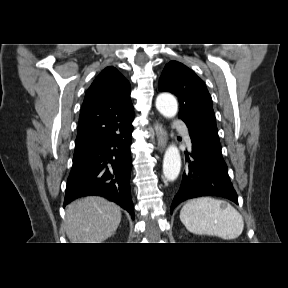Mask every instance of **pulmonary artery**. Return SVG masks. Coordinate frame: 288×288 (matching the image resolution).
<instances>
[{
	"instance_id": "1",
	"label": "pulmonary artery",
	"mask_w": 288,
	"mask_h": 288,
	"mask_svg": "<svg viewBox=\"0 0 288 288\" xmlns=\"http://www.w3.org/2000/svg\"><path fill=\"white\" fill-rule=\"evenodd\" d=\"M173 127H174V128H178V129H182L186 141L190 142V137H189V135H188V130H187V128L184 126V124H183L181 121L175 119V120L173 121Z\"/></svg>"
}]
</instances>
